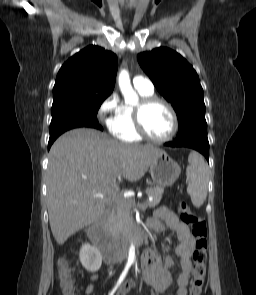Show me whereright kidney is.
Returning a JSON list of instances; mask_svg holds the SVG:
<instances>
[{"label":"right kidney","instance_id":"obj_1","mask_svg":"<svg viewBox=\"0 0 256 295\" xmlns=\"http://www.w3.org/2000/svg\"><path fill=\"white\" fill-rule=\"evenodd\" d=\"M79 258L82 266L88 272H96L101 267L102 255L97 248L91 246L89 243L82 245Z\"/></svg>","mask_w":256,"mask_h":295}]
</instances>
